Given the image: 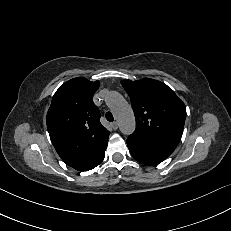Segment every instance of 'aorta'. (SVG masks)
I'll list each match as a JSON object with an SVG mask.
<instances>
[{
	"instance_id": "762f6f07",
	"label": "aorta",
	"mask_w": 231,
	"mask_h": 231,
	"mask_svg": "<svg viewBox=\"0 0 231 231\" xmlns=\"http://www.w3.org/2000/svg\"><path fill=\"white\" fill-rule=\"evenodd\" d=\"M106 103L113 111L120 131L125 135L133 133L135 130V117L131 106L123 96L116 91H111L106 96Z\"/></svg>"
}]
</instances>
